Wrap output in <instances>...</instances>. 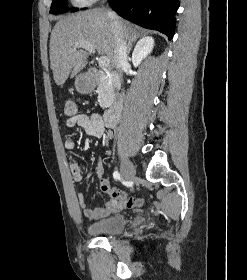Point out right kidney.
Here are the masks:
<instances>
[{
	"mask_svg": "<svg viewBox=\"0 0 247 280\" xmlns=\"http://www.w3.org/2000/svg\"><path fill=\"white\" fill-rule=\"evenodd\" d=\"M154 39L152 37L142 38L135 46L132 54V62L135 67H138L143 59L152 52Z\"/></svg>",
	"mask_w": 247,
	"mask_h": 280,
	"instance_id": "right-kidney-1",
	"label": "right kidney"
}]
</instances>
